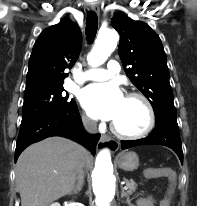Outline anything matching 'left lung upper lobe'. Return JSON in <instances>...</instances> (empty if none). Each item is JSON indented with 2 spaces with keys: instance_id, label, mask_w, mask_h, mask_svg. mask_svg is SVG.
Here are the masks:
<instances>
[{
  "instance_id": "5c2ea615",
  "label": "left lung upper lobe",
  "mask_w": 197,
  "mask_h": 206,
  "mask_svg": "<svg viewBox=\"0 0 197 206\" xmlns=\"http://www.w3.org/2000/svg\"><path fill=\"white\" fill-rule=\"evenodd\" d=\"M112 26L120 34L118 52L125 72L150 101L155 124H177L166 54L159 36L148 24L121 13L113 17Z\"/></svg>"
}]
</instances>
